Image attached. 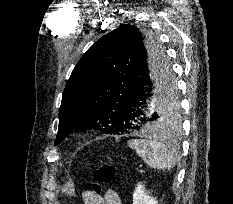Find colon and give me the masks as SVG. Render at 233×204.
Wrapping results in <instances>:
<instances>
[{"instance_id": "obj_1", "label": "colon", "mask_w": 233, "mask_h": 204, "mask_svg": "<svg viewBox=\"0 0 233 204\" xmlns=\"http://www.w3.org/2000/svg\"><path fill=\"white\" fill-rule=\"evenodd\" d=\"M116 169L111 164L100 165L93 174L94 182L92 184V192L100 194L101 185L111 182L115 177Z\"/></svg>"}]
</instances>
